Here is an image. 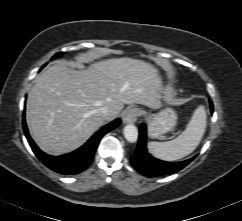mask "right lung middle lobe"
Here are the masks:
<instances>
[{"instance_id":"dd1d6c3e","label":"right lung middle lobe","mask_w":242,"mask_h":221,"mask_svg":"<svg viewBox=\"0 0 242 221\" xmlns=\"http://www.w3.org/2000/svg\"><path fill=\"white\" fill-rule=\"evenodd\" d=\"M61 55H62V53L56 54V55L53 57V59L56 58V57H58V56H61Z\"/></svg>"}]
</instances>
